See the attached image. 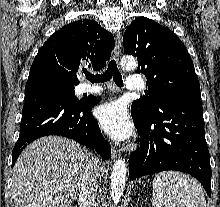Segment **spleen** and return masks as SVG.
Wrapping results in <instances>:
<instances>
[{"label": "spleen", "mask_w": 220, "mask_h": 207, "mask_svg": "<svg viewBox=\"0 0 220 207\" xmlns=\"http://www.w3.org/2000/svg\"><path fill=\"white\" fill-rule=\"evenodd\" d=\"M152 202L154 207H206L202 186L191 176L175 171L155 176Z\"/></svg>", "instance_id": "1"}]
</instances>
